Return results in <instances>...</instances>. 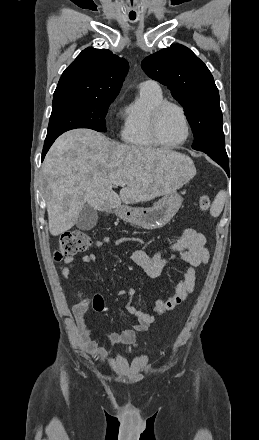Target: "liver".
I'll return each instance as SVG.
<instances>
[{
  "label": "liver",
  "mask_w": 259,
  "mask_h": 440,
  "mask_svg": "<svg viewBox=\"0 0 259 440\" xmlns=\"http://www.w3.org/2000/svg\"><path fill=\"white\" fill-rule=\"evenodd\" d=\"M51 235L70 230L85 204L107 211L121 203L147 202L189 181L196 169L186 155L168 149L122 145L90 129L62 134L43 163ZM123 180L119 195L114 182Z\"/></svg>",
  "instance_id": "6515ba94"
}]
</instances>
